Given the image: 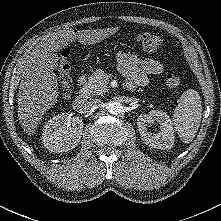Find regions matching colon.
Wrapping results in <instances>:
<instances>
[{"label": "colon", "mask_w": 221, "mask_h": 221, "mask_svg": "<svg viewBox=\"0 0 221 221\" xmlns=\"http://www.w3.org/2000/svg\"><path fill=\"white\" fill-rule=\"evenodd\" d=\"M136 43L146 53H155L162 46L160 36L153 33H142L136 36ZM69 56L70 48L63 47L60 50L57 62V72L59 78V88L62 97L70 96L71 80L69 75ZM164 83L168 90L174 91L179 88L181 78L175 73H168L164 77Z\"/></svg>", "instance_id": "5ec220e1"}]
</instances>
